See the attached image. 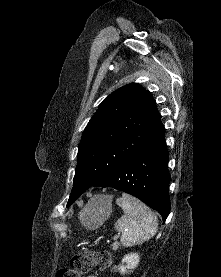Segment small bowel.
<instances>
[{
  "label": "small bowel",
  "instance_id": "c3829d8e",
  "mask_svg": "<svg viewBox=\"0 0 221 277\" xmlns=\"http://www.w3.org/2000/svg\"><path fill=\"white\" fill-rule=\"evenodd\" d=\"M88 277H97V276H95V275H90V276H88Z\"/></svg>",
  "mask_w": 221,
  "mask_h": 277
}]
</instances>
